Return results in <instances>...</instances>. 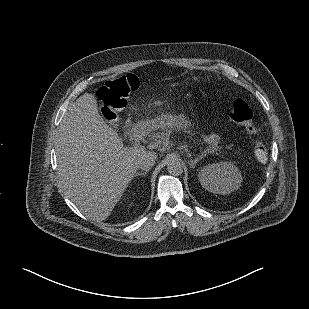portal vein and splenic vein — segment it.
<instances>
[{"label":"portal vein and splenic vein","instance_id":"portal-vein-and-splenic-vein-1","mask_svg":"<svg viewBox=\"0 0 309 309\" xmlns=\"http://www.w3.org/2000/svg\"><path fill=\"white\" fill-rule=\"evenodd\" d=\"M160 144H161V141H152V142H150V143L147 145V147H148L149 149H155V148H157Z\"/></svg>","mask_w":309,"mask_h":309}]
</instances>
